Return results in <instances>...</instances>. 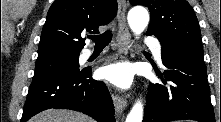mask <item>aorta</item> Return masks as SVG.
<instances>
[{
	"mask_svg": "<svg viewBox=\"0 0 221 122\" xmlns=\"http://www.w3.org/2000/svg\"><path fill=\"white\" fill-rule=\"evenodd\" d=\"M128 23L135 35H140L149 23L148 11L142 6L133 7L128 13ZM143 120V104L137 101L129 114L127 115L126 122H142Z\"/></svg>",
	"mask_w": 221,
	"mask_h": 122,
	"instance_id": "obj_1",
	"label": "aorta"
}]
</instances>
